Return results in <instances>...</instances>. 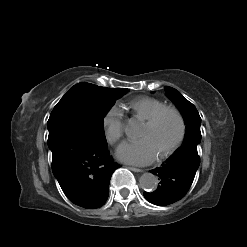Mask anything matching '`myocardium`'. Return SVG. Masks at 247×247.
<instances>
[{"instance_id": "obj_1", "label": "myocardium", "mask_w": 247, "mask_h": 247, "mask_svg": "<svg viewBox=\"0 0 247 247\" xmlns=\"http://www.w3.org/2000/svg\"><path fill=\"white\" fill-rule=\"evenodd\" d=\"M166 114H172L177 119L178 133L175 139L173 140V142L166 149H164L161 153H159L158 156L161 159L168 157L179 147L186 133V122H185L184 116L179 109L173 106H165L161 108L156 113H154L150 118L145 120L144 125H146L147 127H153Z\"/></svg>"}]
</instances>
